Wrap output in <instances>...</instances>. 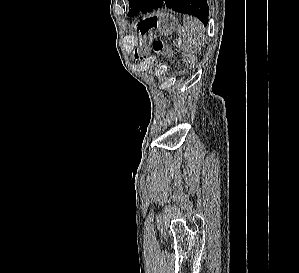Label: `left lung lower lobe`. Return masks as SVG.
I'll list each match as a JSON object with an SVG mask.
<instances>
[{
  "label": "left lung lower lobe",
  "instance_id": "left-lung-lower-lobe-1",
  "mask_svg": "<svg viewBox=\"0 0 299 273\" xmlns=\"http://www.w3.org/2000/svg\"><path fill=\"white\" fill-rule=\"evenodd\" d=\"M166 6L174 11L196 16L204 26L208 24L207 0H146L141 13Z\"/></svg>",
  "mask_w": 299,
  "mask_h": 273
}]
</instances>
